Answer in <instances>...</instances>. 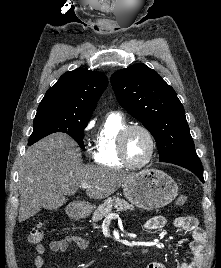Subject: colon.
<instances>
[{"label":"colon","mask_w":221,"mask_h":268,"mask_svg":"<svg viewBox=\"0 0 221 268\" xmlns=\"http://www.w3.org/2000/svg\"><path fill=\"white\" fill-rule=\"evenodd\" d=\"M187 202L186 196H179L176 199V204L178 206H182ZM45 235L44 227L42 223H38L35 227H33L28 235H27V241L31 244H37L39 243Z\"/></svg>","instance_id":"colon-1"}]
</instances>
